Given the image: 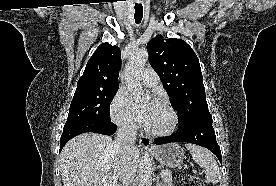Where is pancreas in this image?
Listing matches in <instances>:
<instances>
[{
  "label": "pancreas",
  "instance_id": "1",
  "mask_svg": "<svg viewBox=\"0 0 276 186\" xmlns=\"http://www.w3.org/2000/svg\"><path fill=\"white\" fill-rule=\"evenodd\" d=\"M168 172V175L163 177V186H173L172 184V173L169 170H165Z\"/></svg>",
  "mask_w": 276,
  "mask_h": 186
}]
</instances>
